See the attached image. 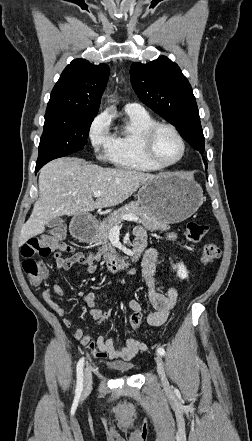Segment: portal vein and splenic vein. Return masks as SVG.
I'll return each mask as SVG.
<instances>
[{
	"mask_svg": "<svg viewBox=\"0 0 252 441\" xmlns=\"http://www.w3.org/2000/svg\"><path fill=\"white\" fill-rule=\"evenodd\" d=\"M101 195H102L101 191H96L93 194L94 197H100ZM122 218H123V220H126V221H134V222L138 221V217L134 214H125V215H123Z\"/></svg>",
	"mask_w": 252,
	"mask_h": 441,
	"instance_id": "1",
	"label": "portal vein and splenic vein"
}]
</instances>
